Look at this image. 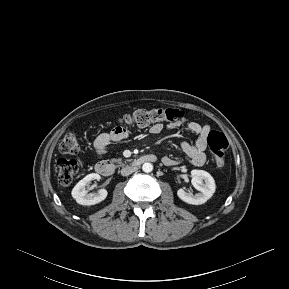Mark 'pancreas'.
<instances>
[{
	"instance_id": "cf45deb5",
	"label": "pancreas",
	"mask_w": 289,
	"mask_h": 289,
	"mask_svg": "<svg viewBox=\"0 0 289 289\" xmlns=\"http://www.w3.org/2000/svg\"><path fill=\"white\" fill-rule=\"evenodd\" d=\"M112 161H113V162H117V163H119V164L122 163V162H121V159H116V158H114V159H112Z\"/></svg>"
}]
</instances>
